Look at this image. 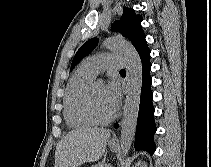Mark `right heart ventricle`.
I'll return each instance as SVG.
<instances>
[{
	"label": "right heart ventricle",
	"mask_w": 211,
	"mask_h": 167,
	"mask_svg": "<svg viewBox=\"0 0 211 167\" xmlns=\"http://www.w3.org/2000/svg\"><path fill=\"white\" fill-rule=\"evenodd\" d=\"M94 77L80 66L68 83L64 97V116L67 124L72 128L82 129L94 125V122L85 114L82 106L84 92Z\"/></svg>",
	"instance_id": "right-heart-ventricle-1"
}]
</instances>
